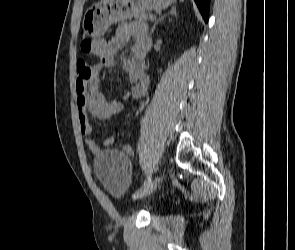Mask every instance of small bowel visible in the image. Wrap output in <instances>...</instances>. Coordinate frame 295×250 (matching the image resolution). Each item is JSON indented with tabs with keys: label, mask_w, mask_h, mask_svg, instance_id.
Returning a JSON list of instances; mask_svg holds the SVG:
<instances>
[{
	"label": "small bowel",
	"mask_w": 295,
	"mask_h": 250,
	"mask_svg": "<svg viewBox=\"0 0 295 250\" xmlns=\"http://www.w3.org/2000/svg\"><path fill=\"white\" fill-rule=\"evenodd\" d=\"M134 38L129 58H118L117 54L123 45ZM151 41L144 27L129 23L120 24L115 35L108 41L100 40L99 49L93 53L100 58L96 65H89L85 60L77 61L76 71V100L80 131L87 136L86 145L93 154H98L101 147L89 136L93 127L90 116L99 120H109L122 111L123 105L117 100H108L99 91L100 73L103 69L121 68L128 76L132 96L142 98L149 87V77L145 73V54ZM114 143V137L109 136L104 140L105 146ZM123 152L133 154L130 146H124Z\"/></svg>",
	"instance_id": "c3829d8e"
}]
</instances>
